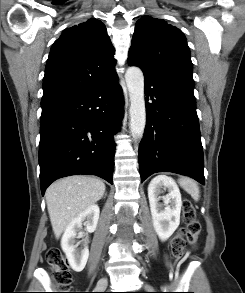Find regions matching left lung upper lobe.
Wrapping results in <instances>:
<instances>
[{
  "label": "left lung upper lobe",
  "instance_id": "5c2ea615",
  "mask_svg": "<svg viewBox=\"0 0 245 293\" xmlns=\"http://www.w3.org/2000/svg\"><path fill=\"white\" fill-rule=\"evenodd\" d=\"M128 63L194 95L190 49L181 30L143 16L136 23Z\"/></svg>",
  "mask_w": 245,
  "mask_h": 293
}]
</instances>
